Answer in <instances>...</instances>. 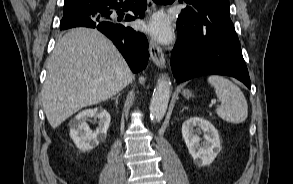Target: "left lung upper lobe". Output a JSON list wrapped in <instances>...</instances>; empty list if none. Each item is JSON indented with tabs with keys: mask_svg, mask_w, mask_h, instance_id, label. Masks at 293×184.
Segmentation results:
<instances>
[{
	"mask_svg": "<svg viewBox=\"0 0 293 184\" xmlns=\"http://www.w3.org/2000/svg\"><path fill=\"white\" fill-rule=\"evenodd\" d=\"M187 3H190L193 5V7L196 4L199 5H210L211 7L222 9L230 13V7H229V0H185ZM189 9H192V7H189Z\"/></svg>",
	"mask_w": 293,
	"mask_h": 184,
	"instance_id": "obj_1",
	"label": "left lung upper lobe"
}]
</instances>
